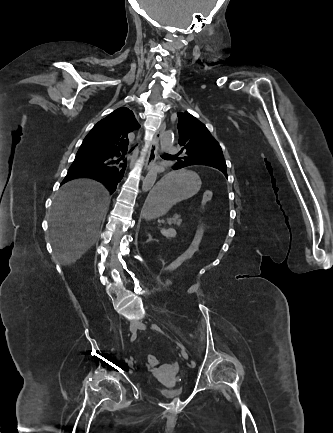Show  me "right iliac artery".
<instances>
[{"label": "right iliac artery", "mask_w": 333, "mask_h": 433, "mask_svg": "<svg viewBox=\"0 0 333 433\" xmlns=\"http://www.w3.org/2000/svg\"><path fill=\"white\" fill-rule=\"evenodd\" d=\"M136 337H137V333L134 332V333L132 334V336H131V340H130V341H131V342L135 341ZM125 361L128 362V363L131 362V361L128 360V359H125Z\"/></svg>", "instance_id": "1"}]
</instances>
